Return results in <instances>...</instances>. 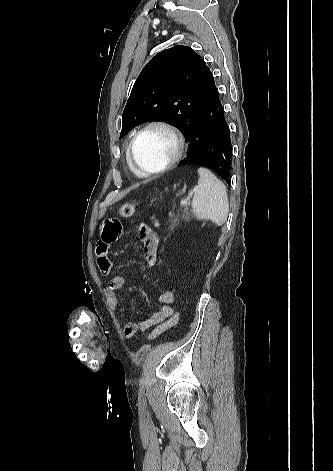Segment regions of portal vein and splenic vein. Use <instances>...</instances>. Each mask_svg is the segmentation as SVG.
<instances>
[{
    "mask_svg": "<svg viewBox=\"0 0 333 471\" xmlns=\"http://www.w3.org/2000/svg\"><path fill=\"white\" fill-rule=\"evenodd\" d=\"M188 201H189L188 198L182 199V200L180 201V206H182V207H183V206H186V205L188 204Z\"/></svg>",
    "mask_w": 333,
    "mask_h": 471,
    "instance_id": "obj_1",
    "label": "portal vein and splenic vein"
}]
</instances>
